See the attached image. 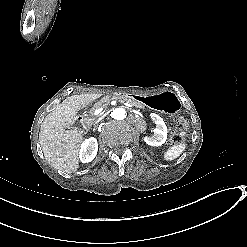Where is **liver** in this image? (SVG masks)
<instances>
[{
    "instance_id": "6515ba94",
    "label": "liver",
    "mask_w": 247,
    "mask_h": 247,
    "mask_svg": "<svg viewBox=\"0 0 247 247\" xmlns=\"http://www.w3.org/2000/svg\"><path fill=\"white\" fill-rule=\"evenodd\" d=\"M103 94H74L63 100L44 118L39 141L46 162L66 177L78 171L84 132L75 127L79 112ZM70 129H67V128Z\"/></svg>"
}]
</instances>
